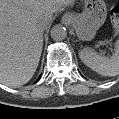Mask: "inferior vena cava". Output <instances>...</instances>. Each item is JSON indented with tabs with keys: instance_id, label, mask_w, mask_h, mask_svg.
Instances as JSON below:
<instances>
[{
	"instance_id": "602c4592",
	"label": "inferior vena cava",
	"mask_w": 119,
	"mask_h": 119,
	"mask_svg": "<svg viewBox=\"0 0 119 119\" xmlns=\"http://www.w3.org/2000/svg\"><path fill=\"white\" fill-rule=\"evenodd\" d=\"M45 29H46V26L45 25H40L38 27V30L41 31V32H43Z\"/></svg>"
}]
</instances>
